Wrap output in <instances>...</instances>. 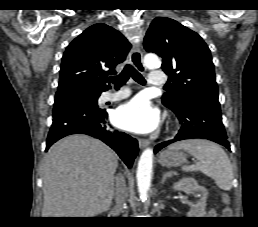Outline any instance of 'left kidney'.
I'll return each instance as SVG.
<instances>
[{
    "mask_svg": "<svg viewBox=\"0 0 258 227\" xmlns=\"http://www.w3.org/2000/svg\"><path fill=\"white\" fill-rule=\"evenodd\" d=\"M173 189L181 190L199 197V199L191 205L188 214L190 217H204L206 214L207 190L203 186H199L194 178H183L173 184Z\"/></svg>",
    "mask_w": 258,
    "mask_h": 227,
    "instance_id": "obj_1",
    "label": "left kidney"
}]
</instances>
